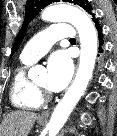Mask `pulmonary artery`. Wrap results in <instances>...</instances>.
<instances>
[{
    "instance_id": "obj_1",
    "label": "pulmonary artery",
    "mask_w": 117,
    "mask_h": 136,
    "mask_svg": "<svg viewBox=\"0 0 117 136\" xmlns=\"http://www.w3.org/2000/svg\"><path fill=\"white\" fill-rule=\"evenodd\" d=\"M74 35L75 32L71 25L65 23L50 25L24 46L21 59L25 62L32 63L45 55L53 43L60 39H71Z\"/></svg>"
}]
</instances>
